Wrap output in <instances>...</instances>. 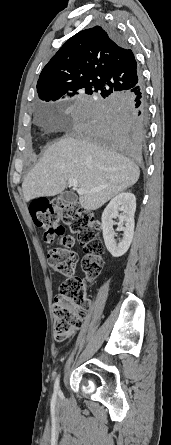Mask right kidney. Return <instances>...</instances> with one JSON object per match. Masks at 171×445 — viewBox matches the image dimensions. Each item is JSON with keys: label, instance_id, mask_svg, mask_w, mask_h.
Here are the masks:
<instances>
[{"label": "right kidney", "instance_id": "obj_1", "mask_svg": "<svg viewBox=\"0 0 171 445\" xmlns=\"http://www.w3.org/2000/svg\"><path fill=\"white\" fill-rule=\"evenodd\" d=\"M120 208L123 214H119ZM136 210V198L131 192H122L116 195L107 205L102 214L103 238L107 250L113 257L124 255L132 242L134 235V214ZM119 218V229L123 231V237L119 242L114 239V221ZM125 223V226L123 224Z\"/></svg>", "mask_w": 171, "mask_h": 445}]
</instances>
